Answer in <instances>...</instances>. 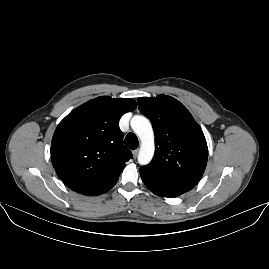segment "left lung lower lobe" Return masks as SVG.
Here are the masks:
<instances>
[{
	"label": "left lung lower lobe",
	"instance_id": "obj_1",
	"mask_svg": "<svg viewBox=\"0 0 269 269\" xmlns=\"http://www.w3.org/2000/svg\"><path fill=\"white\" fill-rule=\"evenodd\" d=\"M139 171L147 188L161 197H177L195 186L188 182L163 179L147 174L141 170Z\"/></svg>",
	"mask_w": 269,
	"mask_h": 269
}]
</instances>
